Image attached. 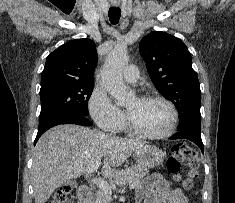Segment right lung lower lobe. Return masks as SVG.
<instances>
[{"label":"right lung lower lobe","mask_w":235,"mask_h":203,"mask_svg":"<svg viewBox=\"0 0 235 203\" xmlns=\"http://www.w3.org/2000/svg\"><path fill=\"white\" fill-rule=\"evenodd\" d=\"M60 124H77L81 126H91L92 122L88 120L85 116L73 114V113H59L55 115H51L44 119H39V128L38 133L34 142V145L40 138V136L56 125Z\"/></svg>","instance_id":"1"}]
</instances>
